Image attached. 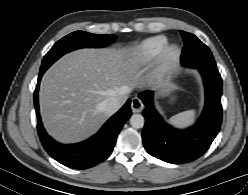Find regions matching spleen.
<instances>
[{
  "label": "spleen",
  "instance_id": "obj_1",
  "mask_svg": "<svg viewBox=\"0 0 248 195\" xmlns=\"http://www.w3.org/2000/svg\"><path fill=\"white\" fill-rule=\"evenodd\" d=\"M196 118L195 110H188L181 113H178L170 118L169 122L179 128H184L190 126L194 123Z\"/></svg>",
  "mask_w": 248,
  "mask_h": 195
}]
</instances>
